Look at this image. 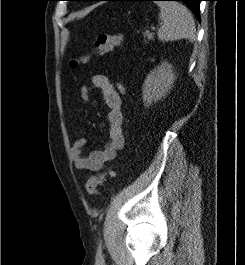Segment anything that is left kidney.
<instances>
[{
  "label": "left kidney",
  "instance_id": "1",
  "mask_svg": "<svg viewBox=\"0 0 245 265\" xmlns=\"http://www.w3.org/2000/svg\"><path fill=\"white\" fill-rule=\"evenodd\" d=\"M175 80L173 67L168 62H162L146 77L143 84L142 98L146 107L164 97Z\"/></svg>",
  "mask_w": 245,
  "mask_h": 265
}]
</instances>
